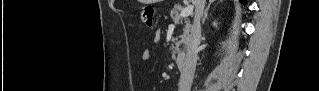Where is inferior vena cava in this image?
Listing matches in <instances>:
<instances>
[{
    "label": "inferior vena cava",
    "mask_w": 319,
    "mask_h": 91,
    "mask_svg": "<svg viewBox=\"0 0 319 91\" xmlns=\"http://www.w3.org/2000/svg\"><path fill=\"white\" fill-rule=\"evenodd\" d=\"M205 2L206 0L195 1V16H194L193 25L191 28L190 37L187 42L186 57H185L183 68L181 70L178 91L191 90L197 58H198L197 57L198 47H199L200 39H201L200 20L204 13Z\"/></svg>",
    "instance_id": "1"
}]
</instances>
